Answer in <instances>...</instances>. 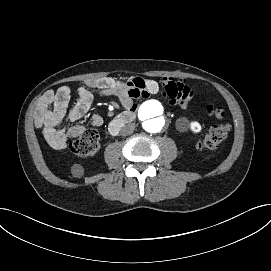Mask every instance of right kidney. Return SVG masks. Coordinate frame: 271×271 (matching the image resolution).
I'll list each match as a JSON object with an SVG mask.
<instances>
[{
  "label": "right kidney",
  "mask_w": 271,
  "mask_h": 271,
  "mask_svg": "<svg viewBox=\"0 0 271 271\" xmlns=\"http://www.w3.org/2000/svg\"><path fill=\"white\" fill-rule=\"evenodd\" d=\"M71 171H72L73 176L78 177V178L82 177L84 174L83 167L78 164L73 165Z\"/></svg>",
  "instance_id": "obj_1"
}]
</instances>
